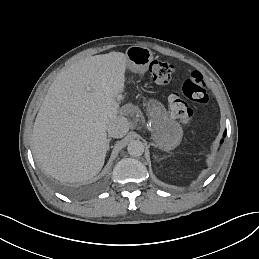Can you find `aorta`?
Masks as SVG:
<instances>
[{
	"label": "aorta",
	"instance_id": "1",
	"mask_svg": "<svg viewBox=\"0 0 259 259\" xmlns=\"http://www.w3.org/2000/svg\"><path fill=\"white\" fill-rule=\"evenodd\" d=\"M127 150L132 157H139L144 153V144L139 140H132L128 144Z\"/></svg>",
	"mask_w": 259,
	"mask_h": 259
}]
</instances>
